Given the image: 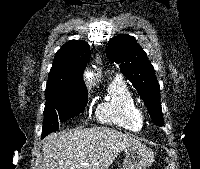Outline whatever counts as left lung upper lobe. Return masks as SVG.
Returning <instances> with one entry per match:
<instances>
[{
  "mask_svg": "<svg viewBox=\"0 0 200 169\" xmlns=\"http://www.w3.org/2000/svg\"><path fill=\"white\" fill-rule=\"evenodd\" d=\"M107 57L119 65L121 72L130 80L144 100L152 121L163 126L160 102V87L155 70L146 53L133 36L118 35L109 40L106 47Z\"/></svg>",
  "mask_w": 200,
  "mask_h": 169,
  "instance_id": "5c2ea615",
  "label": "left lung upper lobe"
}]
</instances>
